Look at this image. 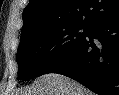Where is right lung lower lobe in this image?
Returning <instances> with one entry per match:
<instances>
[{
    "instance_id": "obj_1",
    "label": "right lung lower lobe",
    "mask_w": 119,
    "mask_h": 95,
    "mask_svg": "<svg viewBox=\"0 0 119 95\" xmlns=\"http://www.w3.org/2000/svg\"><path fill=\"white\" fill-rule=\"evenodd\" d=\"M47 73L70 77L99 95H119V15L90 27Z\"/></svg>"
}]
</instances>
